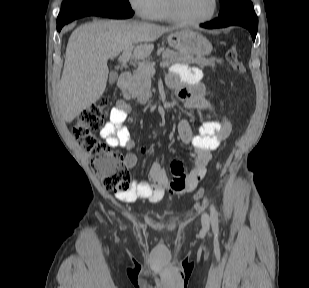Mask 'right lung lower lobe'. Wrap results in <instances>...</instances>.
I'll return each instance as SVG.
<instances>
[{
	"mask_svg": "<svg viewBox=\"0 0 309 288\" xmlns=\"http://www.w3.org/2000/svg\"><path fill=\"white\" fill-rule=\"evenodd\" d=\"M84 16H103L108 18L125 19L132 17L133 11L125 8L102 7V6L93 7L74 15L64 23L57 25V30L60 31L65 24Z\"/></svg>",
	"mask_w": 309,
	"mask_h": 288,
	"instance_id": "98d812e1",
	"label": "right lung lower lobe"
}]
</instances>
